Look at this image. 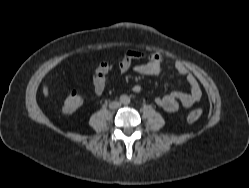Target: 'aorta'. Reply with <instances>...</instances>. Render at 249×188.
Instances as JSON below:
<instances>
[{"label":"aorta","instance_id":"1","mask_svg":"<svg viewBox=\"0 0 249 188\" xmlns=\"http://www.w3.org/2000/svg\"><path fill=\"white\" fill-rule=\"evenodd\" d=\"M120 102L124 105H127L130 103V97L128 95H121L120 96Z\"/></svg>","mask_w":249,"mask_h":188}]
</instances>
